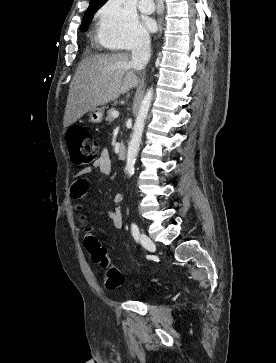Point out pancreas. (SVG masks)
I'll list each match as a JSON object with an SVG mask.
<instances>
[{
    "label": "pancreas",
    "instance_id": "pancreas-1",
    "mask_svg": "<svg viewBox=\"0 0 276 363\" xmlns=\"http://www.w3.org/2000/svg\"><path fill=\"white\" fill-rule=\"evenodd\" d=\"M115 111L114 108L110 109L107 111V117L105 118L106 121L108 122H112L113 121V117H112V112Z\"/></svg>",
    "mask_w": 276,
    "mask_h": 363
}]
</instances>
